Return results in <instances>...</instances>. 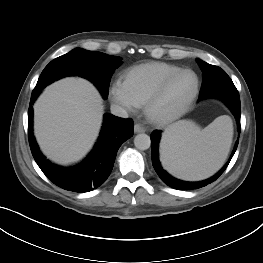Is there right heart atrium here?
Listing matches in <instances>:
<instances>
[{"instance_id":"d8ad5b80","label":"right heart atrium","mask_w":263,"mask_h":263,"mask_svg":"<svg viewBox=\"0 0 263 263\" xmlns=\"http://www.w3.org/2000/svg\"><path fill=\"white\" fill-rule=\"evenodd\" d=\"M109 97L112 103L124 112H133L139 106L128 93L124 83L120 80H116L110 86Z\"/></svg>"}]
</instances>
